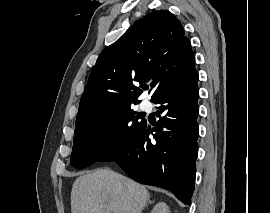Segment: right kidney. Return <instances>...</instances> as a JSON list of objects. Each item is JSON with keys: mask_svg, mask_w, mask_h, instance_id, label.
<instances>
[{"mask_svg": "<svg viewBox=\"0 0 270 213\" xmlns=\"http://www.w3.org/2000/svg\"><path fill=\"white\" fill-rule=\"evenodd\" d=\"M151 213H170V210L165 202H159L152 209Z\"/></svg>", "mask_w": 270, "mask_h": 213, "instance_id": "right-kidney-1", "label": "right kidney"}]
</instances>
